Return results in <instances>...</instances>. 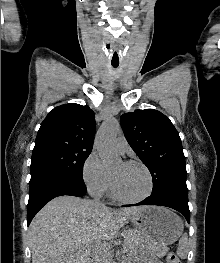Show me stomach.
Returning a JSON list of instances; mask_svg holds the SVG:
<instances>
[{"label": "stomach", "instance_id": "obj_1", "mask_svg": "<svg viewBox=\"0 0 220 263\" xmlns=\"http://www.w3.org/2000/svg\"><path fill=\"white\" fill-rule=\"evenodd\" d=\"M138 229L140 247L152 249L173 244L183 232L181 219L164 207L147 206L130 218Z\"/></svg>", "mask_w": 220, "mask_h": 263}]
</instances>
